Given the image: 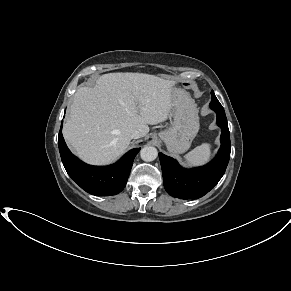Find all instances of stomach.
<instances>
[{"label":"stomach","instance_id":"1","mask_svg":"<svg viewBox=\"0 0 291 291\" xmlns=\"http://www.w3.org/2000/svg\"><path fill=\"white\" fill-rule=\"evenodd\" d=\"M171 95L174 121L171 127L159 133V137L168 151L179 154L190 148L199 130V119L196 104L188 92L174 88Z\"/></svg>","mask_w":291,"mask_h":291}]
</instances>
